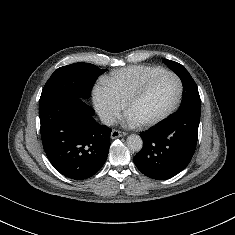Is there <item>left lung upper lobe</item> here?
<instances>
[{
	"mask_svg": "<svg viewBox=\"0 0 235 235\" xmlns=\"http://www.w3.org/2000/svg\"><path fill=\"white\" fill-rule=\"evenodd\" d=\"M164 62L173 70L181 79L183 84L182 103L177 111L181 113L184 111H201V100L199 92L193 78L189 72L179 63L165 59Z\"/></svg>",
	"mask_w": 235,
	"mask_h": 235,
	"instance_id": "5c2ea615",
	"label": "left lung upper lobe"
}]
</instances>
